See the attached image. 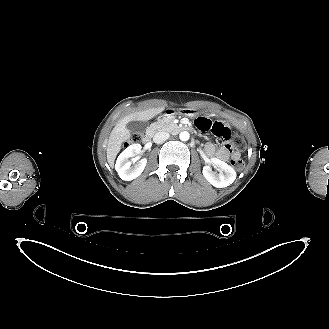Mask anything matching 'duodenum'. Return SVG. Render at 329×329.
Wrapping results in <instances>:
<instances>
[{
    "label": "duodenum",
    "instance_id": "obj_1",
    "mask_svg": "<svg viewBox=\"0 0 329 329\" xmlns=\"http://www.w3.org/2000/svg\"><path fill=\"white\" fill-rule=\"evenodd\" d=\"M173 114H174V110H172V109H167L164 112L165 116H171ZM151 138H152V133L151 132L146 133L145 136L143 137V143L145 145L149 144L151 142Z\"/></svg>",
    "mask_w": 329,
    "mask_h": 329
}]
</instances>
